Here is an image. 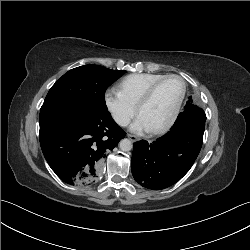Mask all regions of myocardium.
<instances>
[{"label":"myocardium","mask_w":250,"mask_h":250,"mask_svg":"<svg viewBox=\"0 0 250 250\" xmlns=\"http://www.w3.org/2000/svg\"><path fill=\"white\" fill-rule=\"evenodd\" d=\"M170 78H175V79H178L181 84H182V90H181V93H180V96L178 98V101L174 107V110L171 114V116L169 117V119L164 123L162 124L161 126L159 127H156L154 129H151L149 130L151 134H161L165 131H167L168 129H170L172 127V125L175 123L179 113H180V110H181V107H182V104H183V101H184V98H185V95H186V82L185 80L177 75V74H166L164 76H162L161 78L157 79L156 81H154L148 88L147 90L145 91V93L142 95V97L140 98L138 104H137V113L140 115V112L142 110V108L151 100V98L153 97L157 87L165 80L167 79H170Z\"/></svg>","instance_id":"1"}]
</instances>
